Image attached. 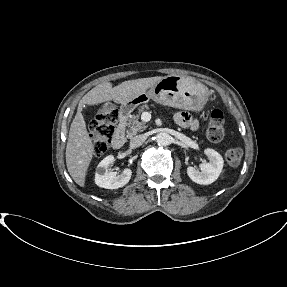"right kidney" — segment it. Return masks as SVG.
Masks as SVG:
<instances>
[{"instance_id": "obj_1", "label": "right kidney", "mask_w": 287, "mask_h": 287, "mask_svg": "<svg viewBox=\"0 0 287 287\" xmlns=\"http://www.w3.org/2000/svg\"><path fill=\"white\" fill-rule=\"evenodd\" d=\"M115 162V157L109 155L105 157L97 166L95 183L97 186L106 189H117L126 185L131 179V169H125L120 175L116 172H109L108 167Z\"/></svg>"}]
</instances>
